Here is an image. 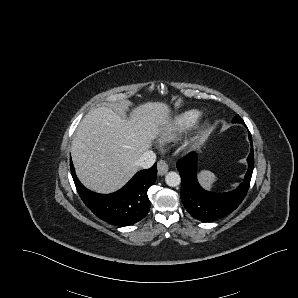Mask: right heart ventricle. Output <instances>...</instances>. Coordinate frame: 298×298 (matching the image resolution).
<instances>
[{
	"label": "right heart ventricle",
	"mask_w": 298,
	"mask_h": 298,
	"mask_svg": "<svg viewBox=\"0 0 298 298\" xmlns=\"http://www.w3.org/2000/svg\"><path fill=\"white\" fill-rule=\"evenodd\" d=\"M179 118H180V125L178 128V131L176 134L171 137L170 139H167L165 141H169L172 138H174L177 134L182 133L184 131H187L195 126L197 121L202 117L201 111L197 109H186L178 112Z\"/></svg>",
	"instance_id": "e07e8e85"
}]
</instances>
